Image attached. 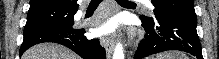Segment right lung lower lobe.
I'll list each match as a JSON object with an SVG mask.
<instances>
[{
  "mask_svg": "<svg viewBox=\"0 0 219 59\" xmlns=\"http://www.w3.org/2000/svg\"><path fill=\"white\" fill-rule=\"evenodd\" d=\"M84 33L85 29L75 28L73 25L28 33L24 35L19 55L35 44L53 42L70 48L83 59H105V49L100 45L99 39H87Z\"/></svg>",
  "mask_w": 219,
  "mask_h": 59,
  "instance_id": "98d812e1",
  "label": "right lung lower lobe"
}]
</instances>
